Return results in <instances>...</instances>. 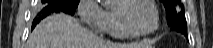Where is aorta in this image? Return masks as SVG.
<instances>
[{"instance_id":"762f6f07","label":"aorta","mask_w":213,"mask_h":48,"mask_svg":"<svg viewBox=\"0 0 213 48\" xmlns=\"http://www.w3.org/2000/svg\"><path fill=\"white\" fill-rule=\"evenodd\" d=\"M103 4L107 5L111 2H113L114 0H100Z\"/></svg>"}]
</instances>
